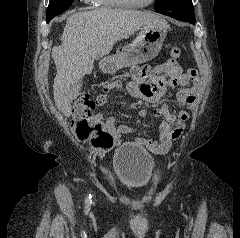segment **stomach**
<instances>
[{
	"label": "stomach",
	"mask_w": 240,
	"mask_h": 238,
	"mask_svg": "<svg viewBox=\"0 0 240 238\" xmlns=\"http://www.w3.org/2000/svg\"><path fill=\"white\" fill-rule=\"evenodd\" d=\"M168 27L155 25L141 29L135 40L117 50L115 56L103 59L100 68L105 73H113L120 68L129 67L154 59L161 51Z\"/></svg>",
	"instance_id": "obj_1"
}]
</instances>
